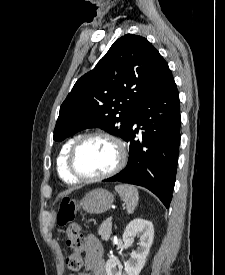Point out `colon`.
Instances as JSON below:
<instances>
[{
  "mask_svg": "<svg viewBox=\"0 0 225 275\" xmlns=\"http://www.w3.org/2000/svg\"><path fill=\"white\" fill-rule=\"evenodd\" d=\"M77 210L76 202L72 199L65 198L62 200L57 214L58 225L66 227V244L72 249V253L66 260V265L67 268L73 272L80 271L83 264L81 256L83 238L79 226L74 223Z\"/></svg>",
  "mask_w": 225,
  "mask_h": 275,
  "instance_id": "colon-1",
  "label": "colon"
}]
</instances>
